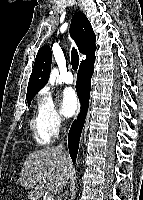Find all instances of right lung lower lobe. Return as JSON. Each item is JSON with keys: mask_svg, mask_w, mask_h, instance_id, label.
Listing matches in <instances>:
<instances>
[{"mask_svg": "<svg viewBox=\"0 0 143 200\" xmlns=\"http://www.w3.org/2000/svg\"><path fill=\"white\" fill-rule=\"evenodd\" d=\"M95 55L81 62L77 74L76 91L81 102V112L70 128L68 146L70 156L75 163L79 148V140L89 106L91 77L94 71Z\"/></svg>", "mask_w": 143, "mask_h": 200, "instance_id": "obj_1", "label": "right lung lower lobe"}]
</instances>
